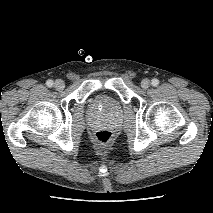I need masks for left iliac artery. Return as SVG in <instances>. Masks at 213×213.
<instances>
[{
    "label": "left iliac artery",
    "mask_w": 213,
    "mask_h": 213,
    "mask_svg": "<svg viewBox=\"0 0 213 213\" xmlns=\"http://www.w3.org/2000/svg\"><path fill=\"white\" fill-rule=\"evenodd\" d=\"M151 84H152V86L156 87L159 85V80L154 78V79H152Z\"/></svg>",
    "instance_id": "obj_1"
}]
</instances>
